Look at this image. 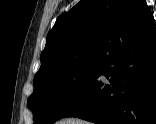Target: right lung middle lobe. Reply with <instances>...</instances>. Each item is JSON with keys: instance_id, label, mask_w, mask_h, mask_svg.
I'll list each match as a JSON object with an SVG mask.
<instances>
[{"instance_id": "right-lung-middle-lobe-1", "label": "right lung middle lobe", "mask_w": 156, "mask_h": 124, "mask_svg": "<svg viewBox=\"0 0 156 124\" xmlns=\"http://www.w3.org/2000/svg\"><path fill=\"white\" fill-rule=\"evenodd\" d=\"M101 60H90L55 69L34 78L28 99L35 124H53L72 105L92 80Z\"/></svg>"}]
</instances>
